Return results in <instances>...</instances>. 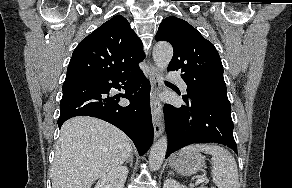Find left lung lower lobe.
<instances>
[{"mask_svg":"<svg viewBox=\"0 0 292 188\" xmlns=\"http://www.w3.org/2000/svg\"><path fill=\"white\" fill-rule=\"evenodd\" d=\"M184 105L166 104L164 114L168 147L166 158L194 143H219L237 153L229 100L183 96Z\"/></svg>","mask_w":292,"mask_h":188,"instance_id":"left-lung-lower-lobe-1","label":"left lung lower lobe"}]
</instances>
